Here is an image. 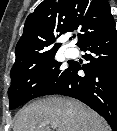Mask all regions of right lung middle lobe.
<instances>
[{"label":"right lung middle lobe","mask_w":117,"mask_h":131,"mask_svg":"<svg viewBox=\"0 0 117 131\" xmlns=\"http://www.w3.org/2000/svg\"><path fill=\"white\" fill-rule=\"evenodd\" d=\"M54 56L55 53H51L35 63L11 70L10 110L34 98L52 94L62 86L69 68L62 69Z\"/></svg>","instance_id":"right-lung-middle-lobe-1"}]
</instances>
